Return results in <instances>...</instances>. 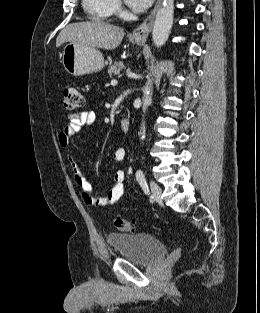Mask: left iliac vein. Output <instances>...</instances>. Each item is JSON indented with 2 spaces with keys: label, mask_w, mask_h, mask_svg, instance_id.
<instances>
[{
  "label": "left iliac vein",
  "mask_w": 260,
  "mask_h": 313,
  "mask_svg": "<svg viewBox=\"0 0 260 313\" xmlns=\"http://www.w3.org/2000/svg\"><path fill=\"white\" fill-rule=\"evenodd\" d=\"M150 187H151V192H152L153 198L156 201H160L161 200V193H162L161 187L153 181L150 183Z\"/></svg>",
  "instance_id": "4c4485c4"
}]
</instances>
